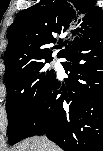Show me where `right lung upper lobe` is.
Segmentation results:
<instances>
[{"instance_id": "1", "label": "right lung upper lobe", "mask_w": 103, "mask_h": 151, "mask_svg": "<svg viewBox=\"0 0 103 151\" xmlns=\"http://www.w3.org/2000/svg\"><path fill=\"white\" fill-rule=\"evenodd\" d=\"M94 10L89 0H42L18 13L8 29L4 80L29 65L52 59V51L44 46L56 42V37L68 39L60 52L64 54L84 34L102 28Z\"/></svg>"}]
</instances>
